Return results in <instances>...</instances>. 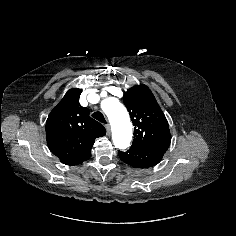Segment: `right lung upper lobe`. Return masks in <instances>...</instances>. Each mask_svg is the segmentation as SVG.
<instances>
[{"instance_id":"cb5924a9","label":"right lung upper lobe","mask_w":236,"mask_h":236,"mask_svg":"<svg viewBox=\"0 0 236 236\" xmlns=\"http://www.w3.org/2000/svg\"><path fill=\"white\" fill-rule=\"evenodd\" d=\"M80 94L81 89H70L46 121L49 149L70 166L90 157L95 139L106 134L104 126L90 118L88 108L79 104Z\"/></svg>"}]
</instances>
